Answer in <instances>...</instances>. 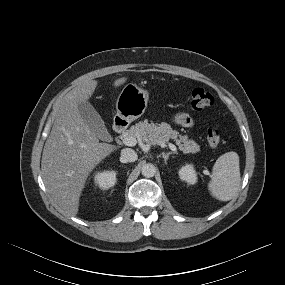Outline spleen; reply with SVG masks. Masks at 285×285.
<instances>
[{
	"label": "spleen",
	"mask_w": 285,
	"mask_h": 285,
	"mask_svg": "<svg viewBox=\"0 0 285 285\" xmlns=\"http://www.w3.org/2000/svg\"><path fill=\"white\" fill-rule=\"evenodd\" d=\"M240 181L239 156L236 152H227L216 160L208 189L214 198L229 201L236 195Z\"/></svg>",
	"instance_id": "1"
}]
</instances>
